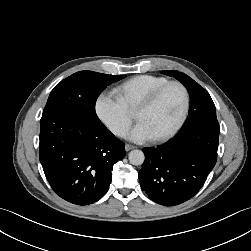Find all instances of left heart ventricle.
Here are the masks:
<instances>
[{
	"instance_id": "left-heart-ventricle-1",
	"label": "left heart ventricle",
	"mask_w": 251,
	"mask_h": 251,
	"mask_svg": "<svg viewBox=\"0 0 251 251\" xmlns=\"http://www.w3.org/2000/svg\"><path fill=\"white\" fill-rule=\"evenodd\" d=\"M184 105L182 90L177 86L169 87L149 109L136 112L138 121L144 122L154 137L169 131L178 121Z\"/></svg>"
}]
</instances>
